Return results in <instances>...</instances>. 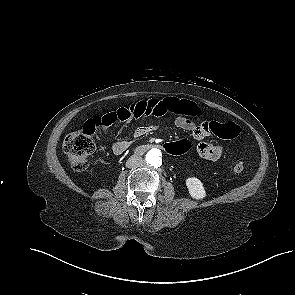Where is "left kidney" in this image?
I'll return each instance as SVG.
<instances>
[{
	"label": "left kidney",
	"instance_id": "obj_1",
	"mask_svg": "<svg viewBox=\"0 0 295 295\" xmlns=\"http://www.w3.org/2000/svg\"><path fill=\"white\" fill-rule=\"evenodd\" d=\"M186 186L192 198L200 200L206 196V192L203 187V184L198 178H195V177L187 178Z\"/></svg>",
	"mask_w": 295,
	"mask_h": 295
}]
</instances>
